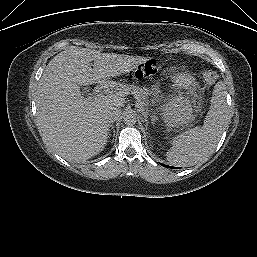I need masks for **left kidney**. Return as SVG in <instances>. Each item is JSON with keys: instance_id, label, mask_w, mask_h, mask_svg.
Wrapping results in <instances>:
<instances>
[{"instance_id": "1", "label": "left kidney", "mask_w": 257, "mask_h": 257, "mask_svg": "<svg viewBox=\"0 0 257 257\" xmlns=\"http://www.w3.org/2000/svg\"><path fill=\"white\" fill-rule=\"evenodd\" d=\"M162 116L168 127H179L192 121L193 115L187 101L176 98L162 108Z\"/></svg>"}]
</instances>
